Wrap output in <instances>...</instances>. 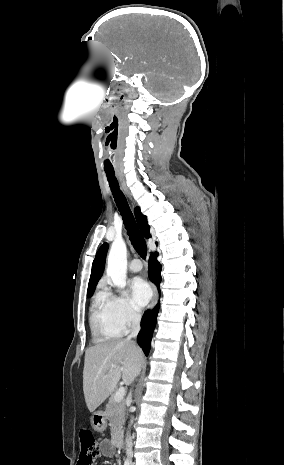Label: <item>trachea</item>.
Returning <instances> with one entry per match:
<instances>
[{
    "label": "trachea",
    "instance_id": "1",
    "mask_svg": "<svg viewBox=\"0 0 284 465\" xmlns=\"http://www.w3.org/2000/svg\"><path fill=\"white\" fill-rule=\"evenodd\" d=\"M105 173L114 196L115 203L118 207V210L120 211L125 228L129 235V239L136 252H138V254L145 259L147 255L145 239L143 238V235L141 234L136 224L135 218L130 210L126 197L119 189V184L115 177V172L114 170L105 169Z\"/></svg>",
    "mask_w": 284,
    "mask_h": 465
}]
</instances>
